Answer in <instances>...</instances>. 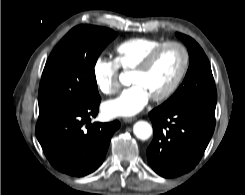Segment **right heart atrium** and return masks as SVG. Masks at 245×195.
I'll use <instances>...</instances> for the list:
<instances>
[{
  "instance_id": "d8ad5b80",
  "label": "right heart atrium",
  "mask_w": 245,
  "mask_h": 195,
  "mask_svg": "<svg viewBox=\"0 0 245 195\" xmlns=\"http://www.w3.org/2000/svg\"><path fill=\"white\" fill-rule=\"evenodd\" d=\"M119 67L115 60L98 57L92 68L93 78L98 90L105 95L116 94L120 89Z\"/></svg>"
}]
</instances>
